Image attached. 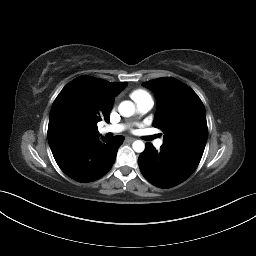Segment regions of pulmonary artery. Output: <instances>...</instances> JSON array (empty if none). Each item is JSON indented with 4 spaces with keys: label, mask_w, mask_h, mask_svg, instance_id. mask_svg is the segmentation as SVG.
<instances>
[{
    "label": "pulmonary artery",
    "mask_w": 256,
    "mask_h": 256,
    "mask_svg": "<svg viewBox=\"0 0 256 256\" xmlns=\"http://www.w3.org/2000/svg\"><path fill=\"white\" fill-rule=\"evenodd\" d=\"M153 104H154L153 100H146L143 102H139V103H137L138 111L141 114H145L152 109ZM125 128H126V126L124 124H111V125H105V126L101 127L99 131L102 134L119 133V132H122L123 130H125ZM162 144H163L162 139H158L154 142V145L156 147H160Z\"/></svg>",
    "instance_id": "obj_1"
}]
</instances>
